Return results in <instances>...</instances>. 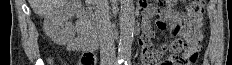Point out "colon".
I'll return each instance as SVG.
<instances>
[{
  "label": "colon",
  "instance_id": "obj_1",
  "mask_svg": "<svg viewBox=\"0 0 232 65\" xmlns=\"http://www.w3.org/2000/svg\"><path fill=\"white\" fill-rule=\"evenodd\" d=\"M175 0H157L156 9L164 14L171 10ZM203 0H192L187 5L186 32L183 40H176L170 45L172 56L166 62L177 65H189L194 63L202 46V25L205 11ZM83 65H92L93 56L85 53L82 57Z\"/></svg>",
  "mask_w": 232,
  "mask_h": 65
}]
</instances>
